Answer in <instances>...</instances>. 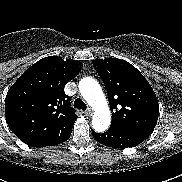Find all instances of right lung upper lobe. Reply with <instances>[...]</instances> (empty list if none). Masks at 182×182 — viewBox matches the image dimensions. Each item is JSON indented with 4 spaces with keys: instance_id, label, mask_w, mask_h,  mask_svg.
<instances>
[{
    "instance_id": "obj_1",
    "label": "right lung upper lobe",
    "mask_w": 182,
    "mask_h": 182,
    "mask_svg": "<svg viewBox=\"0 0 182 182\" xmlns=\"http://www.w3.org/2000/svg\"><path fill=\"white\" fill-rule=\"evenodd\" d=\"M82 63L45 57L27 69L8 90L5 116L10 130L34 145L72 130L77 119L64 86L77 76Z\"/></svg>"
}]
</instances>
